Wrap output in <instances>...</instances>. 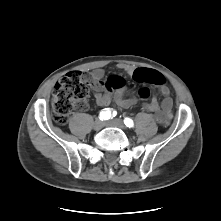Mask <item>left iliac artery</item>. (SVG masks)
<instances>
[{
    "instance_id": "1",
    "label": "left iliac artery",
    "mask_w": 221,
    "mask_h": 221,
    "mask_svg": "<svg viewBox=\"0 0 221 221\" xmlns=\"http://www.w3.org/2000/svg\"><path fill=\"white\" fill-rule=\"evenodd\" d=\"M124 124H125L127 127H129V128L133 127V125H134L133 120L130 119V118H125V119H124Z\"/></svg>"
}]
</instances>
